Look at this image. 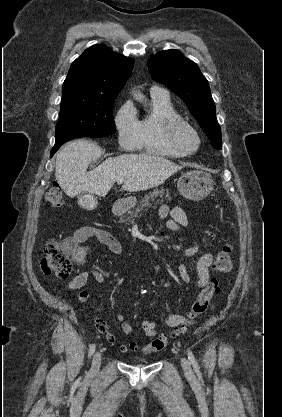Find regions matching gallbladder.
Segmentation results:
<instances>
[{"label":"gallbladder","instance_id":"obj_1","mask_svg":"<svg viewBox=\"0 0 282 417\" xmlns=\"http://www.w3.org/2000/svg\"><path fill=\"white\" fill-rule=\"evenodd\" d=\"M77 198L78 204H80V206H84V204H87L88 200H90V196H87L85 192H81V194H78Z\"/></svg>","mask_w":282,"mask_h":417}]
</instances>
